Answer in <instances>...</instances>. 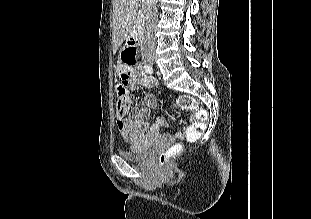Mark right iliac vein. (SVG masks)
Instances as JSON below:
<instances>
[{
	"label": "right iliac vein",
	"mask_w": 311,
	"mask_h": 219,
	"mask_svg": "<svg viewBox=\"0 0 311 219\" xmlns=\"http://www.w3.org/2000/svg\"><path fill=\"white\" fill-rule=\"evenodd\" d=\"M147 61L152 63L154 61V56H148Z\"/></svg>",
	"instance_id": "obj_1"
}]
</instances>
